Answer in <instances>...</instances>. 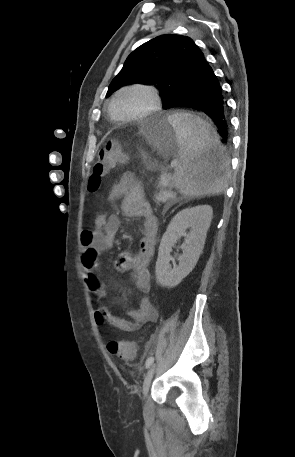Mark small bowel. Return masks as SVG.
I'll return each instance as SVG.
<instances>
[{
	"label": "small bowel",
	"mask_w": 295,
	"mask_h": 457,
	"mask_svg": "<svg viewBox=\"0 0 295 457\" xmlns=\"http://www.w3.org/2000/svg\"><path fill=\"white\" fill-rule=\"evenodd\" d=\"M110 197L122 198L121 208L125 216L143 220V237L138 253L133 255L123 252L116 259L115 267L121 272H131L136 289L146 295L150 291L148 266L156 246L157 219L144 197L141 185L131 173H125L113 184ZM119 228L117 215L103 211L95 216L93 227L83 231L81 236L83 278L89 290L101 298L108 297L109 291L98 276V258L101 253L112 248ZM97 312L102 317L101 323L97 321L98 324L109 325L124 332H134L144 324L157 322L159 318L156 307L146 296L141 298L137 309L127 312L128 319L112 314L106 307H100Z\"/></svg>",
	"instance_id": "obj_1"
}]
</instances>
